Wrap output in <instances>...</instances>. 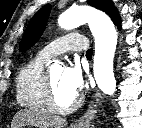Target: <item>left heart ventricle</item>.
I'll list each match as a JSON object with an SVG mask.
<instances>
[{"mask_svg": "<svg viewBox=\"0 0 142 128\" xmlns=\"http://www.w3.org/2000/svg\"><path fill=\"white\" fill-rule=\"evenodd\" d=\"M63 72L62 67H57L50 71V76L57 104L61 107H66L76 96L64 86L62 82Z\"/></svg>", "mask_w": 142, "mask_h": 128, "instance_id": "1", "label": "left heart ventricle"}]
</instances>
